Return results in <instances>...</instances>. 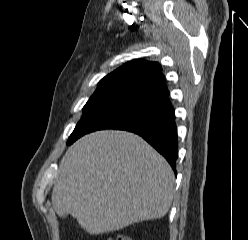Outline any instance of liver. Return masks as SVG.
<instances>
[{"label":"liver","mask_w":248,"mask_h":240,"mask_svg":"<svg viewBox=\"0 0 248 240\" xmlns=\"http://www.w3.org/2000/svg\"><path fill=\"white\" fill-rule=\"evenodd\" d=\"M175 177L167 161L138 135L105 130L77 140L63 156L52 205L92 235L164 217Z\"/></svg>","instance_id":"liver-1"}]
</instances>
